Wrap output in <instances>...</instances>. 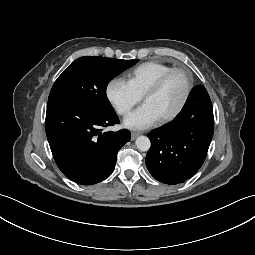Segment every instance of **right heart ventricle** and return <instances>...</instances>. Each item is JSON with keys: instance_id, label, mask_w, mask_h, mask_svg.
I'll list each match as a JSON object with an SVG mask.
<instances>
[{"instance_id": "obj_1", "label": "right heart ventricle", "mask_w": 255, "mask_h": 255, "mask_svg": "<svg viewBox=\"0 0 255 255\" xmlns=\"http://www.w3.org/2000/svg\"><path fill=\"white\" fill-rule=\"evenodd\" d=\"M171 68V66L157 61L144 62L128 73V83L143 96L158 77Z\"/></svg>"}]
</instances>
